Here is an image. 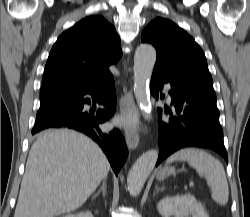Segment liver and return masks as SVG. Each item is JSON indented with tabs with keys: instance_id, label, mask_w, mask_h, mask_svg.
I'll list each match as a JSON object with an SVG mask.
<instances>
[{
	"instance_id": "1",
	"label": "liver",
	"mask_w": 250,
	"mask_h": 217,
	"mask_svg": "<svg viewBox=\"0 0 250 217\" xmlns=\"http://www.w3.org/2000/svg\"><path fill=\"white\" fill-rule=\"evenodd\" d=\"M109 169L100 147L85 135L41 132L29 152L14 217H54L78 209Z\"/></svg>"
}]
</instances>
